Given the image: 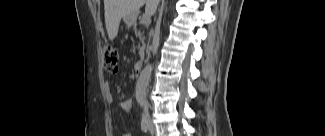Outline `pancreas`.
<instances>
[{
	"label": "pancreas",
	"mask_w": 325,
	"mask_h": 136,
	"mask_svg": "<svg viewBox=\"0 0 325 136\" xmlns=\"http://www.w3.org/2000/svg\"><path fill=\"white\" fill-rule=\"evenodd\" d=\"M141 25L139 23H136L134 25L133 32L136 33L137 37L140 38L141 40H145V34L141 32ZM143 32L145 31L144 29L142 30ZM141 32V33H140ZM141 49V48H140Z\"/></svg>",
	"instance_id": "pancreas-1"
}]
</instances>
